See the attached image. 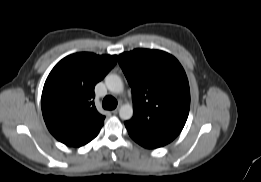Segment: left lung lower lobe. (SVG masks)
<instances>
[{"label":"left lung lower lobe","instance_id":"obj_1","mask_svg":"<svg viewBox=\"0 0 261 182\" xmlns=\"http://www.w3.org/2000/svg\"><path fill=\"white\" fill-rule=\"evenodd\" d=\"M128 132L134 141H136L138 144H140L141 146H143L145 148H149V149L158 148V147H161V146H164L167 144L163 141L146 138V137H141L139 135H135V134L131 133L130 131H128Z\"/></svg>","mask_w":261,"mask_h":182}]
</instances>
